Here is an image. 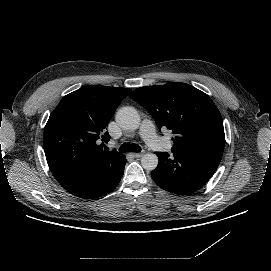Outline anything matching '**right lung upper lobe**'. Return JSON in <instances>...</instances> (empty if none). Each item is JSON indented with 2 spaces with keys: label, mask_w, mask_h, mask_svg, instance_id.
<instances>
[{
  "label": "right lung upper lobe",
  "mask_w": 271,
  "mask_h": 271,
  "mask_svg": "<svg viewBox=\"0 0 271 271\" xmlns=\"http://www.w3.org/2000/svg\"><path fill=\"white\" fill-rule=\"evenodd\" d=\"M131 89L93 85L64 96L50 114L43 146L50 170L69 190L86 184L119 163L122 153L103 150L105 128ZM105 132V133H104Z\"/></svg>",
  "instance_id": "obj_1"
}]
</instances>
